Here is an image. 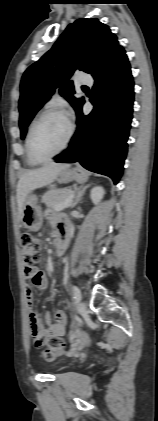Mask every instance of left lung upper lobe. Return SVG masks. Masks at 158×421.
<instances>
[{
    "instance_id": "5c2ea615",
    "label": "left lung upper lobe",
    "mask_w": 158,
    "mask_h": 421,
    "mask_svg": "<svg viewBox=\"0 0 158 421\" xmlns=\"http://www.w3.org/2000/svg\"><path fill=\"white\" fill-rule=\"evenodd\" d=\"M119 47L115 34L96 18H81L68 25L53 47L22 77L19 100L21 138L24 139L36 112L58 87L77 113L84 100L73 96L74 86L69 78L76 69L93 76Z\"/></svg>"
}]
</instances>
